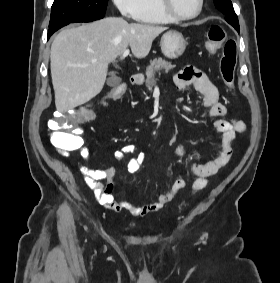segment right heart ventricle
I'll list each match as a JSON object with an SVG mask.
<instances>
[{"label": "right heart ventricle", "mask_w": 280, "mask_h": 283, "mask_svg": "<svg viewBox=\"0 0 280 283\" xmlns=\"http://www.w3.org/2000/svg\"><path fill=\"white\" fill-rule=\"evenodd\" d=\"M135 19L143 24H167L175 21L162 11L159 0H140V11Z\"/></svg>", "instance_id": "right-heart-ventricle-1"}]
</instances>
